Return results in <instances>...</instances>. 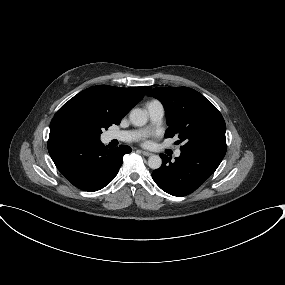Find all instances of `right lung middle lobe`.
Returning <instances> with one entry per match:
<instances>
[{"label": "right lung middle lobe", "mask_w": 285, "mask_h": 285, "mask_svg": "<svg viewBox=\"0 0 285 285\" xmlns=\"http://www.w3.org/2000/svg\"><path fill=\"white\" fill-rule=\"evenodd\" d=\"M112 124L101 118L70 117L63 121L62 129L82 139L97 142L100 134Z\"/></svg>", "instance_id": "obj_1"}]
</instances>
